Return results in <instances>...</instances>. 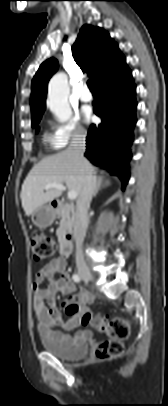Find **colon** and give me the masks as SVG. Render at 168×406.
<instances>
[{
  "instance_id": "colon-1",
  "label": "colon",
  "mask_w": 168,
  "mask_h": 406,
  "mask_svg": "<svg viewBox=\"0 0 168 406\" xmlns=\"http://www.w3.org/2000/svg\"><path fill=\"white\" fill-rule=\"evenodd\" d=\"M29 246L35 261L41 262L51 257L56 249L54 240L42 233H33L29 237ZM66 313L71 316L74 308H67ZM81 321L97 331L107 335V339L99 342L94 356L99 360H110L119 357L123 352V340L129 336L128 322L123 318H106L99 313L85 312Z\"/></svg>"
}]
</instances>
